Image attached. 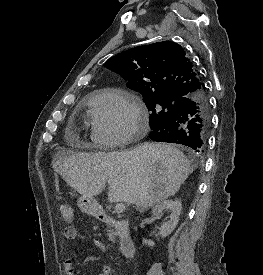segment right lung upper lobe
I'll return each instance as SVG.
<instances>
[{
	"label": "right lung upper lobe",
	"mask_w": 263,
	"mask_h": 275,
	"mask_svg": "<svg viewBox=\"0 0 263 275\" xmlns=\"http://www.w3.org/2000/svg\"><path fill=\"white\" fill-rule=\"evenodd\" d=\"M105 66L128 81L127 86L144 96L191 98L204 90L177 43L162 41L138 46L111 57Z\"/></svg>",
	"instance_id": "cb5924a9"
}]
</instances>
